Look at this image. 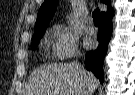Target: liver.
I'll return each instance as SVG.
<instances>
[{"instance_id": "1", "label": "liver", "mask_w": 135, "mask_h": 95, "mask_svg": "<svg viewBox=\"0 0 135 95\" xmlns=\"http://www.w3.org/2000/svg\"><path fill=\"white\" fill-rule=\"evenodd\" d=\"M82 70L86 73L87 80L71 64L44 65L29 77L25 95H84L88 83L93 93L99 82L91 72Z\"/></svg>"}]
</instances>
